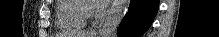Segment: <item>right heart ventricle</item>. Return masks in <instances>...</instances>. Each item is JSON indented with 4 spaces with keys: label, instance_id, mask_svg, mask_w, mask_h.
<instances>
[{
    "label": "right heart ventricle",
    "instance_id": "e07e8e85",
    "mask_svg": "<svg viewBox=\"0 0 219 37\" xmlns=\"http://www.w3.org/2000/svg\"><path fill=\"white\" fill-rule=\"evenodd\" d=\"M86 1L59 0L57 3V26L62 30L80 29L86 24Z\"/></svg>",
    "mask_w": 219,
    "mask_h": 37
}]
</instances>
